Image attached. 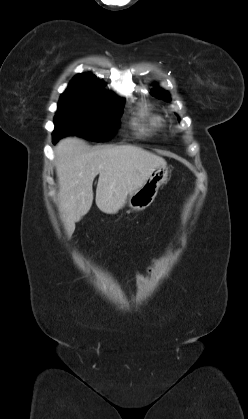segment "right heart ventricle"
Wrapping results in <instances>:
<instances>
[{
  "label": "right heart ventricle",
  "instance_id": "obj_1",
  "mask_svg": "<svg viewBox=\"0 0 248 419\" xmlns=\"http://www.w3.org/2000/svg\"><path fill=\"white\" fill-rule=\"evenodd\" d=\"M135 125L141 134H149L158 131L164 125L163 118L154 113L148 106L139 109Z\"/></svg>",
  "mask_w": 248,
  "mask_h": 419
}]
</instances>
